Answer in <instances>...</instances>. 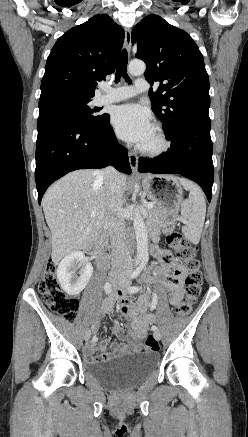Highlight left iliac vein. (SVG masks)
<instances>
[{
  "label": "left iliac vein",
  "mask_w": 248,
  "mask_h": 437,
  "mask_svg": "<svg viewBox=\"0 0 248 437\" xmlns=\"http://www.w3.org/2000/svg\"><path fill=\"white\" fill-rule=\"evenodd\" d=\"M118 285L122 290L127 291L128 287L130 286V281L127 278L122 277L120 278ZM153 335L157 340L161 339V333L159 330L154 331Z\"/></svg>",
  "instance_id": "4c4485c4"
}]
</instances>
